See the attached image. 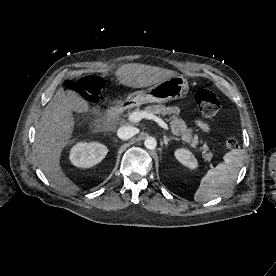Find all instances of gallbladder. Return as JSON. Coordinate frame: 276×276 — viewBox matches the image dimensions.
Segmentation results:
<instances>
[{
    "label": "gallbladder",
    "mask_w": 276,
    "mask_h": 276,
    "mask_svg": "<svg viewBox=\"0 0 276 276\" xmlns=\"http://www.w3.org/2000/svg\"><path fill=\"white\" fill-rule=\"evenodd\" d=\"M71 103V109L77 113H89L90 107L88 103L75 91H68Z\"/></svg>",
    "instance_id": "bac80fb5"
}]
</instances>
